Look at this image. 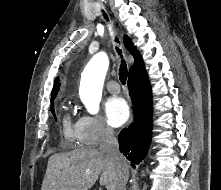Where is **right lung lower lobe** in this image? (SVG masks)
I'll use <instances>...</instances> for the list:
<instances>
[{"label": "right lung lower lobe", "mask_w": 221, "mask_h": 190, "mask_svg": "<svg viewBox=\"0 0 221 190\" xmlns=\"http://www.w3.org/2000/svg\"><path fill=\"white\" fill-rule=\"evenodd\" d=\"M129 93L134 106V122L123 129L118 142L120 151L131 161L139 164L148 152L152 130L151 87L147 74L128 79Z\"/></svg>", "instance_id": "obj_1"}]
</instances>
